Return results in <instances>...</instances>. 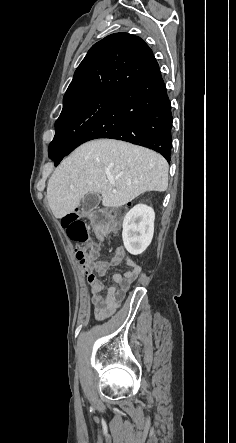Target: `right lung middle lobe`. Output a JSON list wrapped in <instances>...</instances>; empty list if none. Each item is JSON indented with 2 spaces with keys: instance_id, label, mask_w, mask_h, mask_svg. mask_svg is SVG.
I'll return each mask as SVG.
<instances>
[{
  "instance_id": "right-lung-middle-lobe-1",
  "label": "right lung middle lobe",
  "mask_w": 236,
  "mask_h": 443,
  "mask_svg": "<svg viewBox=\"0 0 236 443\" xmlns=\"http://www.w3.org/2000/svg\"><path fill=\"white\" fill-rule=\"evenodd\" d=\"M113 94H97L63 109L55 123L56 134L49 148L66 149L72 138Z\"/></svg>"
}]
</instances>
